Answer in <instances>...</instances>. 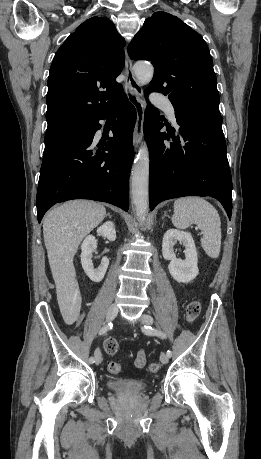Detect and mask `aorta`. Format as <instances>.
Returning a JSON list of instances; mask_svg holds the SVG:
<instances>
[{"mask_svg": "<svg viewBox=\"0 0 261 459\" xmlns=\"http://www.w3.org/2000/svg\"><path fill=\"white\" fill-rule=\"evenodd\" d=\"M134 72L138 82L145 85L151 82L154 68L149 63L138 62ZM149 163L148 147L143 142L134 159L131 176V199L139 221H144L148 213Z\"/></svg>", "mask_w": 261, "mask_h": 459, "instance_id": "762f6f07", "label": "aorta"}]
</instances>
